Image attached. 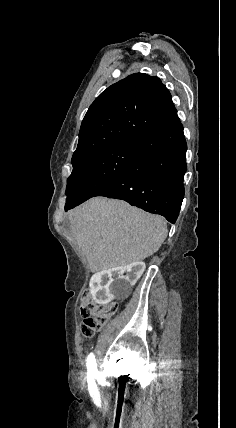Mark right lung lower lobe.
Segmentation results:
<instances>
[{
  "instance_id": "obj_1",
  "label": "right lung lower lobe",
  "mask_w": 236,
  "mask_h": 428,
  "mask_svg": "<svg viewBox=\"0 0 236 428\" xmlns=\"http://www.w3.org/2000/svg\"><path fill=\"white\" fill-rule=\"evenodd\" d=\"M137 154L96 196L127 201L175 223L184 198L187 145L177 113L138 139Z\"/></svg>"
}]
</instances>
